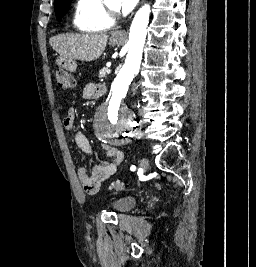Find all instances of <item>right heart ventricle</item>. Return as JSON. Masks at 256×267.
Here are the masks:
<instances>
[{
	"label": "right heart ventricle",
	"instance_id": "obj_1",
	"mask_svg": "<svg viewBox=\"0 0 256 267\" xmlns=\"http://www.w3.org/2000/svg\"><path fill=\"white\" fill-rule=\"evenodd\" d=\"M79 7L85 11V17L74 22L77 29L85 36H106L101 30L106 0H80Z\"/></svg>",
	"mask_w": 256,
	"mask_h": 267
}]
</instances>
